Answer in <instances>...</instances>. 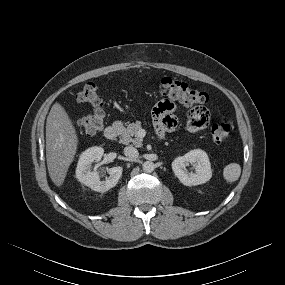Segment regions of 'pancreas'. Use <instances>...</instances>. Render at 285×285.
Instances as JSON below:
<instances>
[{
    "mask_svg": "<svg viewBox=\"0 0 285 285\" xmlns=\"http://www.w3.org/2000/svg\"><path fill=\"white\" fill-rule=\"evenodd\" d=\"M114 125L119 128L120 131V142L125 145L132 144L135 147L142 146V139L138 137V131L141 129V122L137 121L136 123H131L123 125L122 122L117 121Z\"/></svg>",
    "mask_w": 285,
    "mask_h": 285,
    "instance_id": "cf45deb5",
    "label": "pancreas"
}]
</instances>
